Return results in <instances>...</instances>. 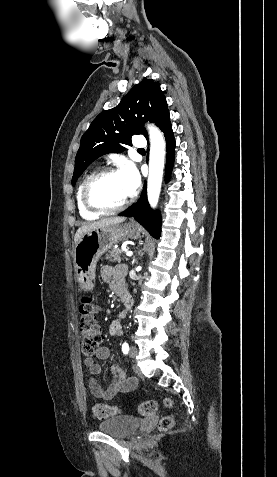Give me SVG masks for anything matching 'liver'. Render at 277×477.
<instances>
[{
  "label": "liver",
  "mask_w": 277,
  "mask_h": 477,
  "mask_svg": "<svg viewBox=\"0 0 277 477\" xmlns=\"http://www.w3.org/2000/svg\"><path fill=\"white\" fill-rule=\"evenodd\" d=\"M125 220H126L125 217H112V218H105V219L99 220L97 222L85 224L77 230V232L75 234V238H74L75 244H77V242L80 240L82 235H84V234H86V233H88L92 230H95L97 228L104 227V226L120 224V223L124 222Z\"/></svg>",
  "instance_id": "1"
}]
</instances>
